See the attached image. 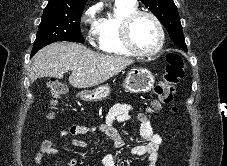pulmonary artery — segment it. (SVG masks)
<instances>
[{"instance_id": "1", "label": "pulmonary artery", "mask_w": 227, "mask_h": 166, "mask_svg": "<svg viewBox=\"0 0 227 166\" xmlns=\"http://www.w3.org/2000/svg\"><path fill=\"white\" fill-rule=\"evenodd\" d=\"M116 1H126V2H130V3H135L136 0H116Z\"/></svg>"}]
</instances>
